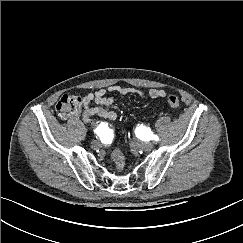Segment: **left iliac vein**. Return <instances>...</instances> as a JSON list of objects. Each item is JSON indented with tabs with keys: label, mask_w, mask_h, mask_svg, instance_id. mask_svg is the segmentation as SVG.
<instances>
[{
	"label": "left iliac vein",
	"mask_w": 243,
	"mask_h": 243,
	"mask_svg": "<svg viewBox=\"0 0 243 243\" xmlns=\"http://www.w3.org/2000/svg\"><path fill=\"white\" fill-rule=\"evenodd\" d=\"M139 147L143 150L149 151L154 147V145L150 142H144V143H140Z\"/></svg>",
	"instance_id": "4c4485c4"
}]
</instances>
